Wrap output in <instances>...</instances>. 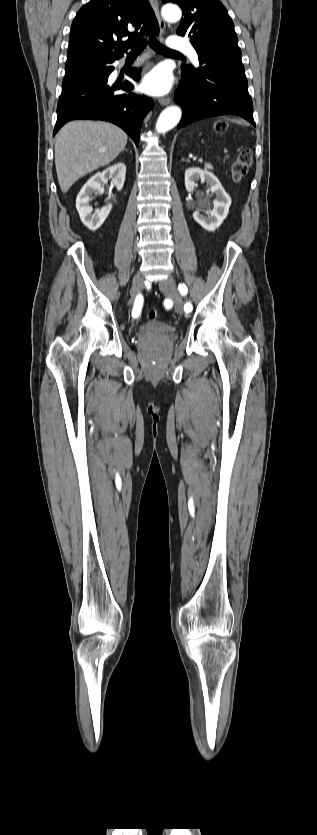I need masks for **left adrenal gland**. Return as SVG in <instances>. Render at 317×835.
I'll use <instances>...</instances> for the list:
<instances>
[{
	"mask_svg": "<svg viewBox=\"0 0 317 835\" xmlns=\"http://www.w3.org/2000/svg\"><path fill=\"white\" fill-rule=\"evenodd\" d=\"M184 161H186V162H189V160H188V159H187V160H185V159H182V162H184Z\"/></svg>",
	"mask_w": 317,
	"mask_h": 835,
	"instance_id": "obj_1",
	"label": "left adrenal gland"
}]
</instances>
